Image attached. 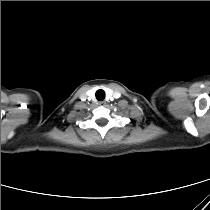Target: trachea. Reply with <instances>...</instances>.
<instances>
[{
	"label": "trachea",
	"instance_id": "3493384b",
	"mask_svg": "<svg viewBox=\"0 0 210 210\" xmlns=\"http://www.w3.org/2000/svg\"><path fill=\"white\" fill-rule=\"evenodd\" d=\"M95 95L99 101H102L105 98V92L103 90H98Z\"/></svg>",
	"mask_w": 210,
	"mask_h": 210
}]
</instances>
